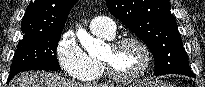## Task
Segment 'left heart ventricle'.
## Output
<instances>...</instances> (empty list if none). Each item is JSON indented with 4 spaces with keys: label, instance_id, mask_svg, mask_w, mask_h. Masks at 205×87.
<instances>
[{
    "label": "left heart ventricle",
    "instance_id": "obj_1",
    "mask_svg": "<svg viewBox=\"0 0 205 87\" xmlns=\"http://www.w3.org/2000/svg\"><path fill=\"white\" fill-rule=\"evenodd\" d=\"M101 58L108 60L114 70L122 75L137 73L145 61L142 49L134 43H126L115 51L107 46Z\"/></svg>",
    "mask_w": 205,
    "mask_h": 87
}]
</instances>
